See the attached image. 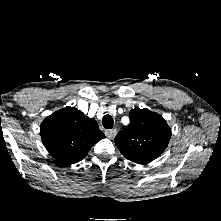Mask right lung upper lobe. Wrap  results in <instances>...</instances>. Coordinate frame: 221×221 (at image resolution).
I'll list each match as a JSON object with an SVG mask.
<instances>
[{
    "label": "right lung upper lobe",
    "mask_w": 221,
    "mask_h": 221,
    "mask_svg": "<svg viewBox=\"0 0 221 221\" xmlns=\"http://www.w3.org/2000/svg\"><path fill=\"white\" fill-rule=\"evenodd\" d=\"M40 134L50 155L64 166L84 159L91 147L105 137L96 121L70 106L48 116Z\"/></svg>",
    "instance_id": "right-lung-upper-lobe-1"
}]
</instances>
